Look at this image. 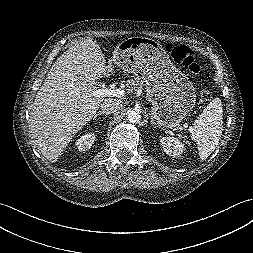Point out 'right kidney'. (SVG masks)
Masks as SVG:
<instances>
[{"mask_svg":"<svg viewBox=\"0 0 253 253\" xmlns=\"http://www.w3.org/2000/svg\"><path fill=\"white\" fill-rule=\"evenodd\" d=\"M95 137L96 135L92 132L86 133L76 140L75 147L79 151H87L91 148L92 144L94 143Z\"/></svg>","mask_w":253,"mask_h":253,"instance_id":"right-kidney-1","label":"right kidney"}]
</instances>
